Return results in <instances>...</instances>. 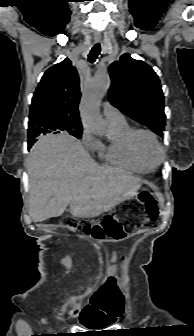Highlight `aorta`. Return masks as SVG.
<instances>
[{
  "mask_svg": "<svg viewBox=\"0 0 194 336\" xmlns=\"http://www.w3.org/2000/svg\"><path fill=\"white\" fill-rule=\"evenodd\" d=\"M109 86L110 79L108 76L100 75L93 78L86 85L80 105L84 128L100 137L110 135L107 123L99 111L100 101L108 91Z\"/></svg>",
  "mask_w": 194,
  "mask_h": 336,
  "instance_id": "1",
  "label": "aorta"
}]
</instances>
